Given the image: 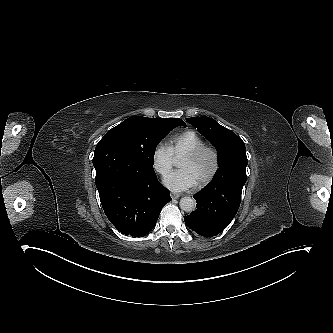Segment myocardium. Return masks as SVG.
Masks as SVG:
<instances>
[{
	"label": "myocardium",
	"instance_id": "myocardium-1",
	"mask_svg": "<svg viewBox=\"0 0 333 333\" xmlns=\"http://www.w3.org/2000/svg\"><path fill=\"white\" fill-rule=\"evenodd\" d=\"M205 153L210 156L211 164L209 170L202 177L195 179L197 185H203L208 183L216 174L218 169V155L216 151L209 146L202 145L192 150L188 154H186L180 160V165L183 166L185 163H190L197 160L200 156H202Z\"/></svg>",
	"mask_w": 333,
	"mask_h": 333
}]
</instances>
